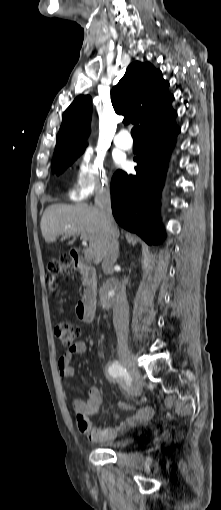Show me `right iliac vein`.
Segmentation results:
<instances>
[{"label": "right iliac vein", "mask_w": 221, "mask_h": 510, "mask_svg": "<svg viewBox=\"0 0 221 510\" xmlns=\"http://www.w3.org/2000/svg\"><path fill=\"white\" fill-rule=\"evenodd\" d=\"M120 361L132 377L134 381V393L138 395L141 388V375L134 356L130 352H124L120 355Z\"/></svg>", "instance_id": "obj_1"}]
</instances>
